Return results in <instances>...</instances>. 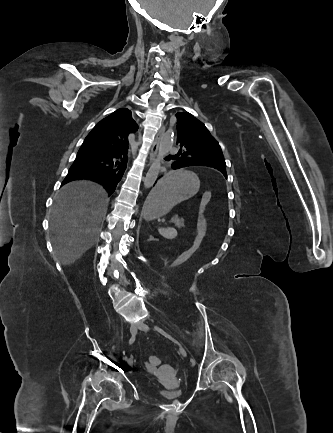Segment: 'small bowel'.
<instances>
[{
    "label": "small bowel",
    "instance_id": "c3829d8e",
    "mask_svg": "<svg viewBox=\"0 0 333 433\" xmlns=\"http://www.w3.org/2000/svg\"><path fill=\"white\" fill-rule=\"evenodd\" d=\"M147 369H148V371H149L150 373H152V374H157V369L149 368L148 366H147Z\"/></svg>",
    "mask_w": 333,
    "mask_h": 433
}]
</instances>
